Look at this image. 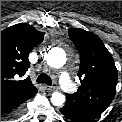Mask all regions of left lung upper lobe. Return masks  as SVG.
I'll use <instances>...</instances> for the list:
<instances>
[{
    "label": "left lung upper lobe",
    "mask_w": 122,
    "mask_h": 122,
    "mask_svg": "<svg viewBox=\"0 0 122 122\" xmlns=\"http://www.w3.org/2000/svg\"><path fill=\"white\" fill-rule=\"evenodd\" d=\"M68 34L80 53L78 77L81 86L77 92L67 96L103 112L115 95L118 74L114 60L95 34L80 28L69 29Z\"/></svg>",
    "instance_id": "1"
}]
</instances>
